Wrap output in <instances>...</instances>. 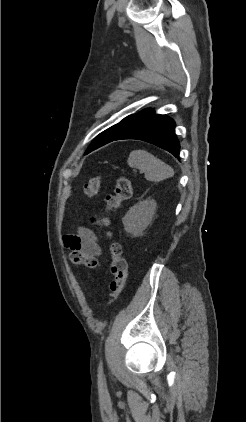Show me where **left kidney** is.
Listing matches in <instances>:
<instances>
[{
    "mask_svg": "<svg viewBox=\"0 0 246 422\" xmlns=\"http://www.w3.org/2000/svg\"><path fill=\"white\" fill-rule=\"evenodd\" d=\"M156 206V201L149 198L131 207L122 219L125 231L133 237L141 236L152 222Z\"/></svg>",
    "mask_w": 246,
    "mask_h": 422,
    "instance_id": "left-kidney-1",
    "label": "left kidney"
}]
</instances>
